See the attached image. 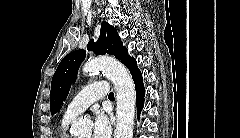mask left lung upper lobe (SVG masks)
<instances>
[{
    "mask_svg": "<svg viewBox=\"0 0 240 138\" xmlns=\"http://www.w3.org/2000/svg\"><path fill=\"white\" fill-rule=\"evenodd\" d=\"M88 50H93L96 55L111 54L121 61L125 66L131 61L128 50L113 26L107 22L101 24L100 36L96 43L91 40L87 46ZM86 56L84 50L74 51L63 58L53 75L50 91L51 115L57 113L67 98L71 83L77 77L80 64Z\"/></svg>",
    "mask_w": 240,
    "mask_h": 138,
    "instance_id": "left-lung-upper-lobe-1",
    "label": "left lung upper lobe"
}]
</instances>
